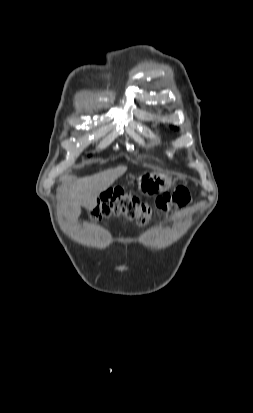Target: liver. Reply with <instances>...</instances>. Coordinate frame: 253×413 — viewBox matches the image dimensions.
I'll return each mask as SVG.
<instances>
[{"instance_id":"1","label":"liver","mask_w":253,"mask_h":413,"mask_svg":"<svg viewBox=\"0 0 253 413\" xmlns=\"http://www.w3.org/2000/svg\"><path fill=\"white\" fill-rule=\"evenodd\" d=\"M126 171V166H119L77 180L66 193L64 206L66 217L71 221H76L81 213L80 206L93 209L97 204L99 195L106 191Z\"/></svg>"}]
</instances>
